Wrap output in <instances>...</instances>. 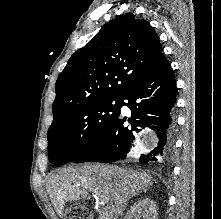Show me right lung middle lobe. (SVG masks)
<instances>
[{"instance_id": "dd1d6c3e", "label": "right lung middle lobe", "mask_w": 221, "mask_h": 219, "mask_svg": "<svg viewBox=\"0 0 221 219\" xmlns=\"http://www.w3.org/2000/svg\"><path fill=\"white\" fill-rule=\"evenodd\" d=\"M121 105V99L98 100L54 121L47 133L50 162H72L88 151L119 116Z\"/></svg>"}]
</instances>
